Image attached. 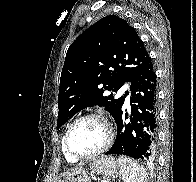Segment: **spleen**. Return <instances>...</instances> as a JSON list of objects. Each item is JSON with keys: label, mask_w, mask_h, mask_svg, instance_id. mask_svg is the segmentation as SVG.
<instances>
[{"label": "spleen", "mask_w": 196, "mask_h": 182, "mask_svg": "<svg viewBox=\"0 0 196 182\" xmlns=\"http://www.w3.org/2000/svg\"><path fill=\"white\" fill-rule=\"evenodd\" d=\"M120 176L123 182H147L148 175L145 169L126 156H119Z\"/></svg>", "instance_id": "3e777b00"}]
</instances>
